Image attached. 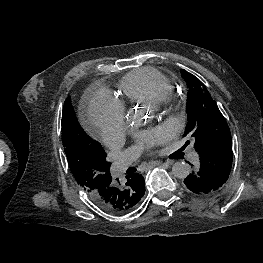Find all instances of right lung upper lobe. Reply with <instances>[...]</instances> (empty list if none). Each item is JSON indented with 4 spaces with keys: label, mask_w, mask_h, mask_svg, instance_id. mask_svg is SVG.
I'll list each match as a JSON object with an SVG mask.
<instances>
[{
    "label": "right lung upper lobe",
    "mask_w": 263,
    "mask_h": 263,
    "mask_svg": "<svg viewBox=\"0 0 263 263\" xmlns=\"http://www.w3.org/2000/svg\"><path fill=\"white\" fill-rule=\"evenodd\" d=\"M128 189H129V193L126 203L122 207L118 208L115 213H126L132 211L138 206L141 198L144 196L145 186L143 183L141 184L130 183L128 185Z\"/></svg>",
    "instance_id": "obj_1"
}]
</instances>
